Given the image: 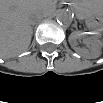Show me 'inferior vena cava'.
<instances>
[{"label":"inferior vena cava","mask_w":103,"mask_h":103,"mask_svg":"<svg viewBox=\"0 0 103 103\" xmlns=\"http://www.w3.org/2000/svg\"><path fill=\"white\" fill-rule=\"evenodd\" d=\"M42 17H43L42 14H33L31 16V22L34 21V20H41Z\"/></svg>","instance_id":"1"}]
</instances>
